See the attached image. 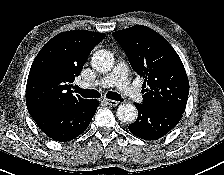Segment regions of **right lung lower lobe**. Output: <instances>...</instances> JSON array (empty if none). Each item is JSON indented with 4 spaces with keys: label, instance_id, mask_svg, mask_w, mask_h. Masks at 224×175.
I'll return each mask as SVG.
<instances>
[{
    "label": "right lung lower lobe",
    "instance_id": "1",
    "mask_svg": "<svg viewBox=\"0 0 224 175\" xmlns=\"http://www.w3.org/2000/svg\"><path fill=\"white\" fill-rule=\"evenodd\" d=\"M98 105L97 100L57 105L32 115V118L47 136L67 142L87 129Z\"/></svg>",
    "mask_w": 224,
    "mask_h": 175
}]
</instances>
